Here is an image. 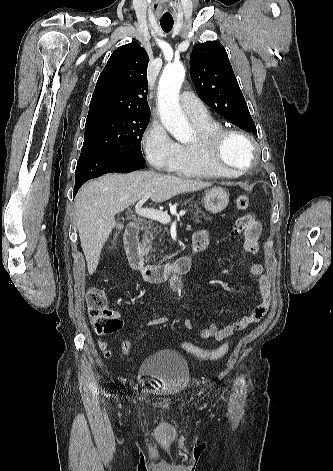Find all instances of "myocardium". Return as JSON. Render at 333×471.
<instances>
[{"instance_id": "myocardium-1", "label": "myocardium", "mask_w": 333, "mask_h": 471, "mask_svg": "<svg viewBox=\"0 0 333 471\" xmlns=\"http://www.w3.org/2000/svg\"><path fill=\"white\" fill-rule=\"evenodd\" d=\"M230 138H239L247 144L249 158L246 164L236 166L224 161L222 157L223 149ZM195 144L205 153L210 163L222 171L241 174L251 169L256 162L257 146L255 141L250 135L238 129L221 128L207 135L197 137Z\"/></svg>"}]
</instances>
